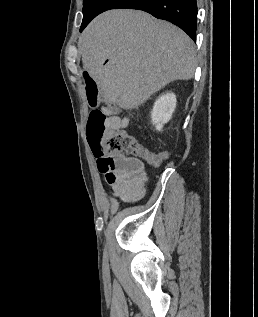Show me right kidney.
<instances>
[{
	"instance_id": "ca27d5eb",
	"label": "right kidney",
	"mask_w": 258,
	"mask_h": 317,
	"mask_svg": "<svg viewBox=\"0 0 258 317\" xmlns=\"http://www.w3.org/2000/svg\"><path fill=\"white\" fill-rule=\"evenodd\" d=\"M176 94L174 92H165L158 96L151 110V122L155 124L156 130H162L165 122L170 120L176 108Z\"/></svg>"
}]
</instances>
